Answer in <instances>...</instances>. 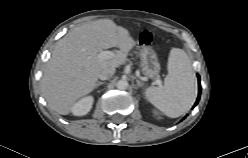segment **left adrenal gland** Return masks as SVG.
I'll list each match as a JSON object with an SVG mask.
<instances>
[{
  "mask_svg": "<svg viewBox=\"0 0 248 158\" xmlns=\"http://www.w3.org/2000/svg\"><path fill=\"white\" fill-rule=\"evenodd\" d=\"M136 82H137V88H143L144 87V83L141 82L140 80L137 79Z\"/></svg>",
  "mask_w": 248,
  "mask_h": 158,
  "instance_id": "obj_1",
  "label": "left adrenal gland"
}]
</instances>
